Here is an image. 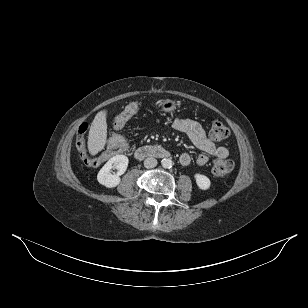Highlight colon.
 <instances>
[{
  "label": "colon",
  "mask_w": 308,
  "mask_h": 308,
  "mask_svg": "<svg viewBox=\"0 0 308 308\" xmlns=\"http://www.w3.org/2000/svg\"><path fill=\"white\" fill-rule=\"evenodd\" d=\"M140 109L139 102H132L128 104L123 111L115 118L113 128L120 129L131 117H133ZM88 129L87 123H82L77 131L76 147L80 153L83 161L89 166H97L101 164L105 158L111 159L115 154L122 155L126 151L127 144L124 141L123 134L112 133L109 135L108 140L110 147L106 148L104 154L99 156H90L86 148L85 134ZM209 136L214 141H222L229 136V129L220 121H214L211 125ZM234 168L232 160L227 158L218 157L212 166V173L216 177H226Z\"/></svg>",
  "instance_id": "obj_1"
}]
</instances>
